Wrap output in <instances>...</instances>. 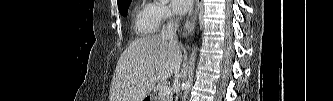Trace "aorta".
<instances>
[{"label": "aorta", "mask_w": 333, "mask_h": 101, "mask_svg": "<svg viewBox=\"0 0 333 101\" xmlns=\"http://www.w3.org/2000/svg\"><path fill=\"white\" fill-rule=\"evenodd\" d=\"M196 56H197V47H194L192 49V53H191L189 63H188L187 79H186L185 83L183 84L184 94H183V97H182V101H186L189 90L192 86Z\"/></svg>", "instance_id": "1"}]
</instances>
